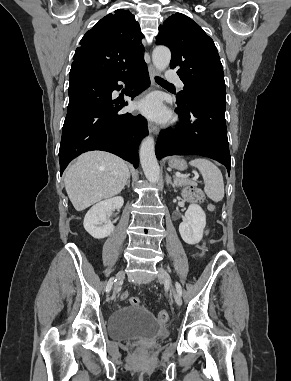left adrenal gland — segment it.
I'll list each match as a JSON object with an SVG mask.
<instances>
[{
  "label": "left adrenal gland",
  "mask_w": 291,
  "mask_h": 381,
  "mask_svg": "<svg viewBox=\"0 0 291 381\" xmlns=\"http://www.w3.org/2000/svg\"><path fill=\"white\" fill-rule=\"evenodd\" d=\"M166 183L167 185L171 184L172 187L174 188V191L176 192V187L178 186L175 182H172V179L171 177L169 176V174H166Z\"/></svg>",
  "instance_id": "left-adrenal-gland-1"
}]
</instances>
